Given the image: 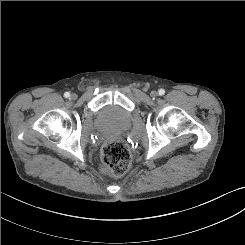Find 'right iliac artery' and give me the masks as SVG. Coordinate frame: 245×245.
Returning a JSON list of instances; mask_svg holds the SVG:
<instances>
[{
	"mask_svg": "<svg viewBox=\"0 0 245 245\" xmlns=\"http://www.w3.org/2000/svg\"><path fill=\"white\" fill-rule=\"evenodd\" d=\"M64 97H65V98H69V97H70V93H69V92H65V93H64Z\"/></svg>",
	"mask_w": 245,
	"mask_h": 245,
	"instance_id": "obj_1",
	"label": "right iliac artery"
}]
</instances>
